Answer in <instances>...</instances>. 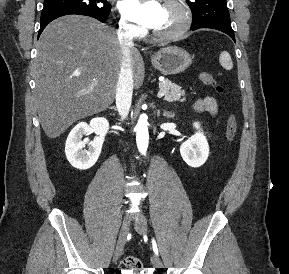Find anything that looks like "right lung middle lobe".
I'll use <instances>...</instances> for the list:
<instances>
[{
  "label": "right lung middle lobe",
  "mask_w": 289,
  "mask_h": 274,
  "mask_svg": "<svg viewBox=\"0 0 289 274\" xmlns=\"http://www.w3.org/2000/svg\"><path fill=\"white\" fill-rule=\"evenodd\" d=\"M69 10L108 16L111 11V5L106 0H44L41 16Z\"/></svg>",
  "instance_id": "right-lung-middle-lobe-1"
}]
</instances>
